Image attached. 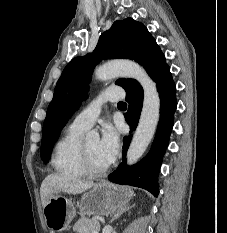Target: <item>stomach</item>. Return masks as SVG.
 Segmentation results:
<instances>
[{
    "label": "stomach",
    "instance_id": "0dacf381",
    "mask_svg": "<svg viewBox=\"0 0 227 233\" xmlns=\"http://www.w3.org/2000/svg\"><path fill=\"white\" fill-rule=\"evenodd\" d=\"M134 193L130 188L114 186L107 182L96 184L85 192L77 206L82 215H108L123 209ZM46 226L53 231L65 230L76 214L75 203L58 193L52 194L43 208Z\"/></svg>",
    "mask_w": 227,
    "mask_h": 233
}]
</instances>
